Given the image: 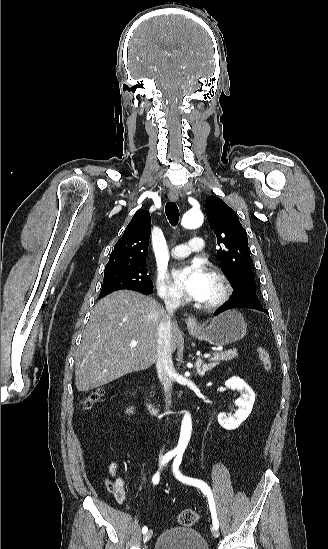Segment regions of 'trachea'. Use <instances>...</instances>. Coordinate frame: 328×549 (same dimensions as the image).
Segmentation results:
<instances>
[{
  "label": "trachea",
  "instance_id": "1",
  "mask_svg": "<svg viewBox=\"0 0 328 549\" xmlns=\"http://www.w3.org/2000/svg\"><path fill=\"white\" fill-rule=\"evenodd\" d=\"M165 213L169 223L175 227L179 222V209L174 202H168L165 206Z\"/></svg>",
  "mask_w": 328,
  "mask_h": 549
}]
</instances>
